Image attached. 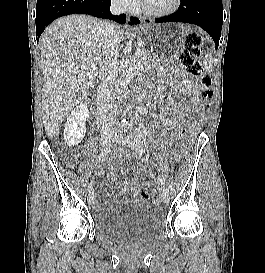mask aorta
<instances>
[{"mask_svg": "<svg viewBox=\"0 0 265 273\" xmlns=\"http://www.w3.org/2000/svg\"><path fill=\"white\" fill-rule=\"evenodd\" d=\"M134 77V65L132 61H128L123 69L122 75L115 86V93L121 94L126 86Z\"/></svg>", "mask_w": 265, "mask_h": 273, "instance_id": "obj_1", "label": "aorta"}]
</instances>
